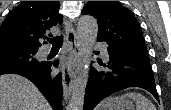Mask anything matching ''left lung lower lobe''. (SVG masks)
Instances as JSON below:
<instances>
[{"instance_id":"0a47b994","label":"left lung lower lobe","mask_w":171,"mask_h":110,"mask_svg":"<svg viewBox=\"0 0 171 110\" xmlns=\"http://www.w3.org/2000/svg\"><path fill=\"white\" fill-rule=\"evenodd\" d=\"M107 49L108 64L98 62L105 69L90 70L84 110H93L105 97L128 87L146 89L159 101L150 61L122 54L109 47Z\"/></svg>"}]
</instances>
